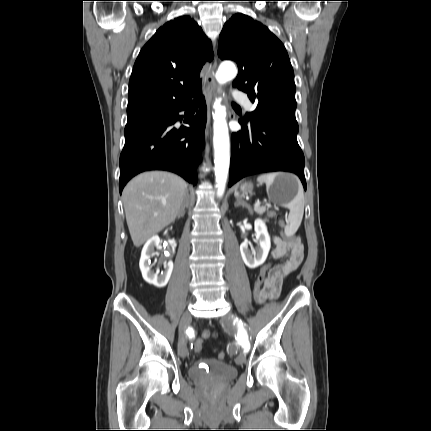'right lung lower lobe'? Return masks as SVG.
<instances>
[{"label": "right lung lower lobe", "instance_id": "obj_1", "mask_svg": "<svg viewBox=\"0 0 431 431\" xmlns=\"http://www.w3.org/2000/svg\"><path fill=\"white\" fill-rule=\"evenodd\" d=\"M194 115L192 100L167 111L128 120L125 127V145L120 155L119 190L136 174L148 170H166L179 174L189 183L198 181L196 168L201 163L206 125V104ZM180 111L191 119L190 127L175 128L182 120ZM188 136V137H187Z\"/></svg>", "mask_w": 431, "mask_h": 431}]
</instances>
